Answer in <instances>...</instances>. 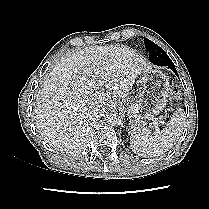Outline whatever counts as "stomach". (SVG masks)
I'll list each match as a JSON object with an SVG mask.
<instances>
[{"instance_id": "1", "label": "stomach", "mask_w": 209, "mask_h": 209, "mask_svg": "<svg viewBox=\"0 0 209 209\" xmlns=\"http://www.w3.org/2000/svg\"><path fill=\"white\" fill-rule=\"evenodd\" d=\"M139 82L142 90L136 103L127 107V115L132 124L145 125L160 114L166 107L170 83L168 77L160 70H145Z\"/></svg>"}]
</instances>
